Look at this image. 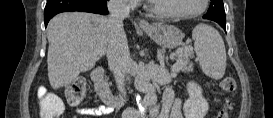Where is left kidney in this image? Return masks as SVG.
<instances>
[{
	"mask_svg": "<svg viewBox=\"0 0 273 118\" xmlns=\"http://www.w3.org/2000/svg\"><path fill=\"white\" fill-rule=\"evenodd\" d=\"M189 98L184 102L183 111L185 118H204L209 105L202 95V88L191 81L187 84Z\"/></svg>",
	"mask_w": 273,
	"mask_h": 118,
	"instance_id": "obj_1",
	"label": "left kidney"
}]
</instances>
